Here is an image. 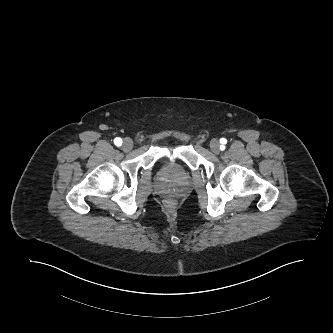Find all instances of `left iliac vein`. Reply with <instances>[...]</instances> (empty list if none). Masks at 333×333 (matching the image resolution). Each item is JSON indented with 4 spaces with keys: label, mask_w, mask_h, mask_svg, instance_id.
Returning a JSON list of instances; mask_svg holds the SVG:
<instances>
[{
    "label": "left iliac vein",
    "mask_w": 333,
    "mask_h": 333,
    "mask_svg": "<svg viewBox=\"0 0 333 333\" xmlns=\"http://www.w3.org/2000/svg\"><path fill=\"white\" fill-rule=\"evenodd\" d=\"M210 149L215 154H218L220 152V144L217 139H212L210 141Z\"/></svg>",
    "instance_id": "4c4485c4"
}]
</instances>
